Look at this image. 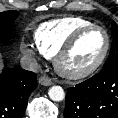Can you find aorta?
<instances>
[{
	"mask_svg": "<svg viewBox=\"0 0 118 118\" xmlns=\"http://www.w3.org/2000/svg\"><path fill=\"white\" fill-rule=\"evenodd\" d=\"M48 95L53 101H62L65 98V92L61 86H52L49 89Z\"/></svg>",
	"mask_w": 118,
	"mask_h": 118,
	"instance_id": "762f6f07",
	"label": "aorta"
}]
</instances>
